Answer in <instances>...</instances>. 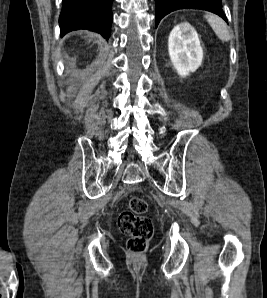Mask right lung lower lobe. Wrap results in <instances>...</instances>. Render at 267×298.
Instances as JSON below:
<instances>
[{"instance_id":"right-lung-lower-lobe-1","label":"right lung lower lobe","mask_w":267,"mask_h":298,"mask_svg":"<svg viewBox=\"0 0 267 298\" xmlns=\"http://www.w3.org/2000/svg\"><path fill=\"white\" fill-rule=\"evenodd\" d=\"M113 0H63L59 17L61 36L79 29L100 33L109 39Z\"/></svg>"}]
</instances>
